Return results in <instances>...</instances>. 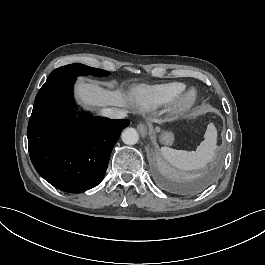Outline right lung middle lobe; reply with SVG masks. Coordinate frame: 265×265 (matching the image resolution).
<instances>
[{
    "instance_id": "dd1d6c3e",
    "label": "right lung middle lobe",
    "mask_w": 265,
    "mask_h": 265,
    "mask_svg": "<svg viewBox=\"0 0 265 265\" xmlns=\"http://www.w3.org/2000/svg\"><path fill=\"white\" fill-rule=\"evenodd\" d=\"M109 73L105 70L88 67L83 64H69L55 69L46 82H51L59 79L76 78L79 75H93L97 77L107 76Z\"/></svg>"
}]
</instances>
